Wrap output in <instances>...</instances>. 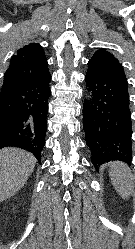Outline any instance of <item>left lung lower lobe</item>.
<instances>
[{"label":"left lung lower lobe","mask_w":135,"mask_h":249,"mask_svg":"<svg viewBox=\"0 0 135 249\" xmlns=\"http://www.w3.org/2000/svg\"><path fill=\"white\" fill-rule=\"evenodd\" d=\"M89 98L83 106V129L96 169L106 162L132 159V123L127 79L88 63Z\"/></svg>","instance_id":"left-lung-lower-lobe-1"}]
</instances>
